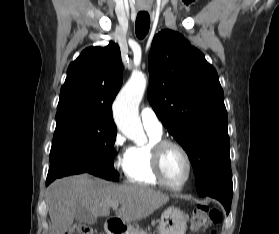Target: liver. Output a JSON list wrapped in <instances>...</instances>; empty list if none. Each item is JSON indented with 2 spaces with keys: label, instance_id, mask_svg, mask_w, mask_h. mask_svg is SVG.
Listing matches in <instances>:
<instances>
[{
  "label": "liver",
  "instance_id": "obj_1",
  "mask_svg": "<svg viewBox=\"0 0 279 234\" xmlns=\"http://www.w3.org/2000/svg\"><path fill=\"white\" fill-rule=\"evenodd\" d=\"M168 201V195L143 185H118L88 174L65 177L49 188L50 234H65L78 206L95 217H108L112 204L118 203L121 207L116 210V217L130 223L148 217Z\"/></svg>",
  "mask_w": 279,
  "mask_h": 234
}]
</instances>
